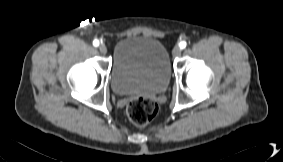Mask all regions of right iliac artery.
Returning <instances> with one entry per match:
<instances>
[{
  "label": "right iliac artery",
  "mask_w": 283,
  "mask_h": 162,
  "mask_svg": "<svg viewBox=\"0 0 283 162\" xmlns=\"http://www.w3.org/2000/svg\"><path fill=\"white\" fill-rule=\"evenodd\" d=\"M93 45H94L95 47H97V46L99 45V41H98V40H94V41H93Z\"/></svg>",
  "instance_id": "right-iliac-artery-1"
}]
</instances>
